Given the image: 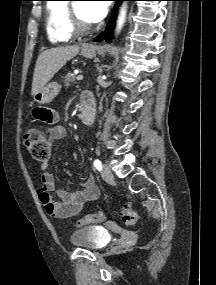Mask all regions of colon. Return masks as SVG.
<instances>
[{"label":"colon","instance_id":"5ec220e1","mask_svg":"<svg viewBox=\"0 0 216 285\" xmlns=\"http://www.w3.org/2000/svg\"><path fill=\"white\" fill-rule=\"evenodd\" d=\"M40 127L30 128L25 136L24 143L31 154V156L38 161H47L50 157V146L49 142L45 141V136H47L46 131L44 133H39ZM118 216L128 227H134L137 222V213L136 211L129 207H123L119 212ZM105 219V216L102 213L89 214L80 219L77 223L79 227H83L90 224L100 223Z\"/></svg>","mask_w":216,"mask_h":285}]
</instances>
